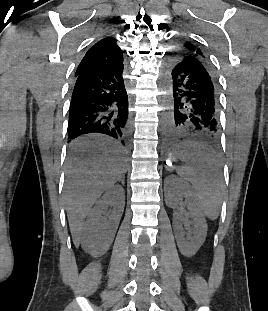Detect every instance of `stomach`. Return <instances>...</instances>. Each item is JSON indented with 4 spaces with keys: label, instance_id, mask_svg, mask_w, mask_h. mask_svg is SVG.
<instances>
[{
    "label": "stomach",
    "instance_id": "obj_1",
    "mask_svg": "<svg viewBox=\"0 0 268 311\" xmlns=\"http://www.w3.org/2000/svg\"><path fill=\"white\" fill-rule=\"evenodd\" d=\"M189 148V146H188ZM182 153V149L177 148L176 150H174V156L177 158H180L179 155ZM172 160H174V157H171Z\"/></svg>",
    "mask_w": 268,
    "mask_h": 311
}]
</instances>
